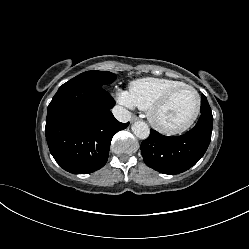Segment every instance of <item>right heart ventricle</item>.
Returning <instances> with one entry per match:
<instances>
[{
  "label": "right heart ventricle",
  "instance_id": "1",
  "mask_svg": "<svg viewBox=\"0 0 249 249\" xmlns=\"http://www.w3.org/2000/svg\"><path fill=\"white\" fill-rule=\"evenodd\" d=\"M182 84L185 83L169 78H141L131 82L129 94L135 106L147 110L168 90Z\"/></svg>",
  "mask_w": 249,
  "mask_h": 249
}]
</instances>
